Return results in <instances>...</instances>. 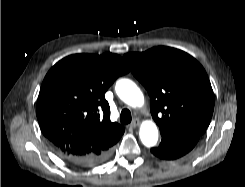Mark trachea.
Listing matches in <instances>:
<instances>
[{"label":"trachea","instance_id":"3493384b","mask_svg":"<svg viewBox=\"0 0 245 187\" xmlns=\"http://www.w3.org/2000/svg\"><path fill=\"white\" fill-rule=\"evenodd\" d=\"M132 120L131 112L128 109H123L120 114V121L123 124H128Z\"/></svg>","mask_w":245,"mask_h":187}]
</instances>
